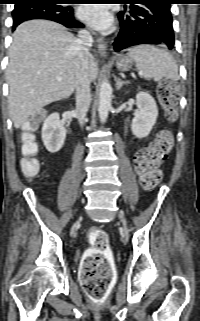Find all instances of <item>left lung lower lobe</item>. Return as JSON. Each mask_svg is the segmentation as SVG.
<instances>
[{"label": "left lung lower lobe", "instance_id": "1", "mask_svg": "<svg viewBox=\"0 0 200 321\" xmlns=\"http://www.w3.org/2000/svg\"><path fill=\"white\" fill-rule=\"evenodd\" d=\"M127 3L130 10L118 13L121 29L114 44L116 52L139 44L174 47L170 11L173 0H131L124 4Z\"/></svg>", "mask_w": 200, "mask_h": 321}]
</instances>
